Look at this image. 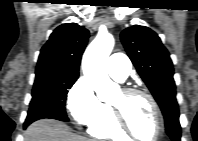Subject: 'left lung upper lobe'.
<instances>
[{"instance_id":"1","label":"left lung upper lobe","mask_w":198,"mask_h":141,"mask_svg":"<svg viewBox=\"0 0 198 141\" xmlns=\"http://www.w3.org/2000/svg\"><path fill=\"white\" fill-rule=\"evenodd\" d=\"M121 41L161 108L168 136L173 141H179L181 136L179 110L173 79V64L167 49L154 31L140 25L125 29L121 33Z\"/></svg>"}]
</instances>
